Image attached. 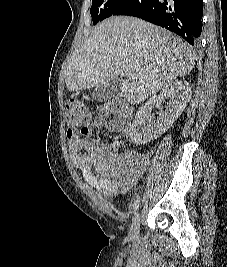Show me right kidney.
Here are the masks:
<instances>
[{"label":"right kidney","instance_id":"obj_1","mask_svg":"<svg viewBox=\"0 0 227 267\" xmlns=\"http://www.w3.org/2000/svg\"><path fill=\"white\" fill-rule=\"evenodd\" d=\"M191 85L184 80H175L165 86L160 95L155 96L142 105L130 126V138L135 144H145L161 136L181 115L190 101ZM169 99L167 107L161 110L156 120L151 118V110L164 99Z\"/></svg>","mask_w":227,"mask_h":267}]
</instances>
